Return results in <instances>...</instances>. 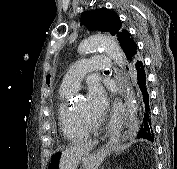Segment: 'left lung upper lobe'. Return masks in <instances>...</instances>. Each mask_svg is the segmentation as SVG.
Here are the masks:
<instances>
[{"label": "left lung upper lobe", "instance_id": "1", "mask_svg": "<svg viewBox=\"0 0 177 169\" xmlns=\"http://www.w3.org/2000/svg\"><path fill=\"white\" fill-rule=\"evenodd\" d=\"M81 20L90 30H100L115 36L125 55L130 43L134 42L130 33L122 27V22L119 19V16L109 9L101 8L92 12H83L81 14ZM137 59H141L139 53Z\"/></svg>", "mask_w": 177, "mask_h": 169}]
</instances>
